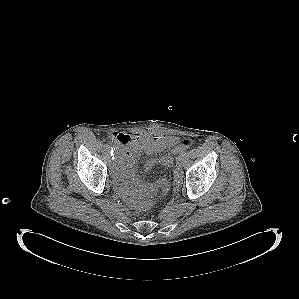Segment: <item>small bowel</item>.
Returning <instances> with one entry per match:
<instances>
[{
  "label": "small bowel",
  "mask_w": 299,
  "mask_h": 299,
  "mask_svg": "<svg viewBox=\"0 0 299 299\" xmlns=\"http://www.w3.org/2000/svg\"><path fill=\"white\" fill-rule=\"evenodd\" d=\"M112 139L119 145L118 167L116 180L126 192L137 191L141 195H152L157 189L163 192L168 191L169 181L160 178L155 184L139 183L134 179L138 156L143 152L148 155L163 152L169 149L171 152L178 151L179 139L163 134L131 136L123 132H115ZM173 164V157L166 154L160 157L148 159L144 164V170L149 171L157 165L170 167Z\"/></svg>",
  "instance_id": "obj_1"
}]
</instances>
